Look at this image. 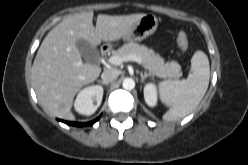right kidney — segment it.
I'll use <instances>...</instances> for the list:
<instances>
[{
  "label": "right kidney",
  "instance_id": "ca27d5eb",
  "mask_svg": "<svg viewBox=\"0 0 248 165\" xmlns=\"http://www.w3.org/2000/svg\"><path fill=\"white\" fill-rule=\"evenodd\" d=\"M103 91V87L100 85H92L82 89L75 100V110L82 115L94 114L102 102Z\"/></svg>",
  "mask_w": 248,
  "mask_h": 165
}]
</instances>
